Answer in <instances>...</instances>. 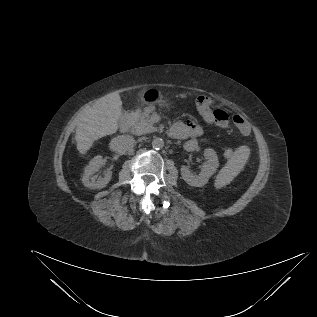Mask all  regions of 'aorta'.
I'll return each mask as SVG.
<instances>
[{
	"label": "aorta",
	"instance_id": "1",
	"mask_svg": "<svg viewBox=\"0 0 317 317\" xmlns=\"http://www.w3.org/2000/svg\"><path fill=\"white\" fill-rule=\"evenodd\" d=\"M152 147L156 150H160L164 147V141L162 138H154L152 141Z\"/></svg>",
	"mask_w": 317,
	"mask_h": 317
}]
</instances>
